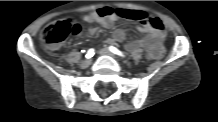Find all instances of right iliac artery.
I'll use <instances>...</instances> for the list:
<instances>
[{"label":"right iliac artery","mask_w":218,"mask_h":122,"mask_svg":"<svg viewBox=\"0 0 218 122\" xmlns=\"http://www.w3.org/2000/svg\"><path fill=\"white\" fill-rule=\"evenodd\" d=\"M94 55V49L91 48L87 51L86 58H91Z\"/></svg>","instance_id":"right-iliac-artery-1"}]
</instances>
